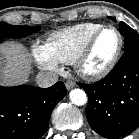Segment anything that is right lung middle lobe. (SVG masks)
<instances>
[{
	"label": "right lung middle lobe",
	"mask_w": 139,
	"mask_h": 139,
	"mask_svg": "<svg viewBox=\"0 0 139 139\" xmlns=\"http://www.w3.org/2000/svg\"><path fill=\"white\" fill-rule=\"evenodd\" d=\"M39 30V26H14L5 22H0V42H2L4 38L26 37L32 33L38 32Z\"/></svg>",
	"instance_id": "1"
}]
</instances>
